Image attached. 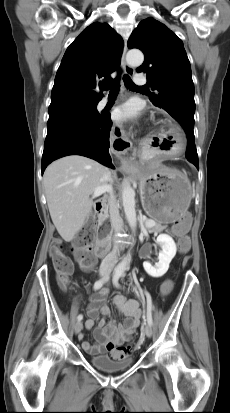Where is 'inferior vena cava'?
<instances>
[{"label": "inferior vena cava", "instance_id": "obj_1", "mask_svg": "<svg viewBox=\"0 0 230 413\" xmlns=\"http://www.w3.org/2000/svg\"><path fill=\"white\" fill-rule=\"evenodd\" d=\"M104 179L107 182H110L112 180V175L110 171H107L105 173ZM108 203H109L111 226L114 229L115 233H118L123 230V221L119 214V205L115 197L112 195L109 197ZM118 251H119L118 245L115 244L112 251L103 259L101 266H100V272L109 273L113 269L115 263L117 262Z\"/></svg>", "mask_w": 230, "mask_h": 413}]
</instances>
